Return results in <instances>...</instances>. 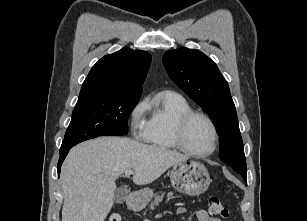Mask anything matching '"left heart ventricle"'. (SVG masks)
<instances>
[{"mask_svg": "<svg viewBox=\"0 0 307 221\" xmlns=\"http://www.w3.org/2000/svg\"><path fill=\"white\" fill-rule=\"evenodd\" d=\"M187 147L196 153H206L213 145V133L210 125L201 117H195L185 132Z\"/></svg>", "mask_w": 307, "mask_h": 221, "instance_id": "obj_1", "label": "left heart ventricle"}]
</instances>
